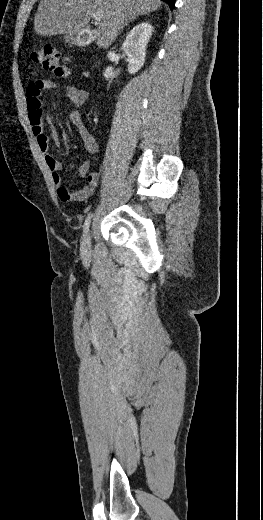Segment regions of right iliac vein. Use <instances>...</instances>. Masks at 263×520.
I'll return each instance as SVG.
<instances>
[{
    "mask_svg": "<svg viewBox=\"0 0 263 520\" xmlns=\"http://www.w3.org/2000/svg\"><path fill=\"white\" fill-rule=\"evenodd\" d=\"M91 237L87 234L81 243V253L83 256H87L90 253Z\"/></svg>",
    "mask_w": 263,
    "mask_h": 520,
    "instance_id": "obj_1",
    "label": "right iliac vein"
}]
</instances>
